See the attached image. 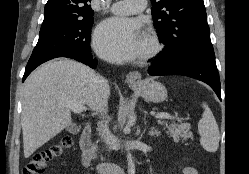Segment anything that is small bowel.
Masks as SVG:
<instances>
[{
    "label": "small bowel",
    "instance_id": "1",
    "mask_svg": "<svg viewBox=\"0 0 249 174\" xmlns=\"http://www.w3.org/2000/svg\"><path fill=\"white\" fill-rule=\"evenodd\" d=\"M183 174H198L196 169L191 166H185L182 169Z\"/></svg>",
    "mask_w": 249,
    "mask_h": 174
}]
</instances>
